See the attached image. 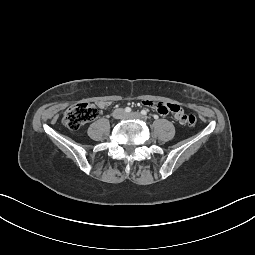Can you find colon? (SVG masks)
<instances>
[{
  "mask_svg": "<svg viewBox=\"0 0 255 255\" xmlns=\"http://www.w3.org/2000/svg\"><path fill=\"white\" fill-rule=\"evenodd\" d=\"M98 114L99 110L95 104L89 102L76 103L68 107L65 111L63 124L70 130H78L86 123L95 119ZM196 121V117L190 114L186 124L194 126Z\"/></svg>",
  "mask_w": 255,
  "mask_h": 255,
  "instance_id": "1",
  "label": "colon"
}]
</instances>
